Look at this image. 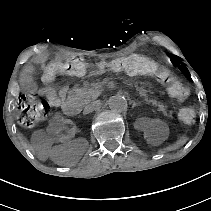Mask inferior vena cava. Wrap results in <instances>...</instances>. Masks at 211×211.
Listing matches in <instances>:
<instances>
[{"label":"inferior vena cava","mask_w":211,"mask_h":211,"mask_svg":"<svg viewBox=\"0 0 211 211\" xmlns=\"http://www.w3.org/2000/svg\"><path fill=\"white\" fill-rule=\"evenodd\" d=\"M96 108H97V104L95 102H92L91 104L87 105L84 108L83 113L84 114H89V113L93 112Z\"/></svg>","instance_id":"inferior-vena-cava-1"}]
</instances>
